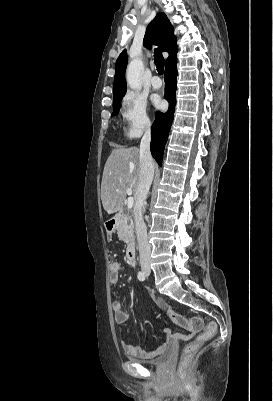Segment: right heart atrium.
I'll return each instance as SVG.
<instances>
[{"label": "right heart atrium", "instance_id": "1", "mask_svg": "<svg viewBox=\"0 0 273 401\" xmlns=\"http://www.w3.org/2000/svg\"><path fill=\"white\" fill-rule=\"evenodd\" d=\"M121 113L126 123L124 135L128 140H136L151 131L153 123L147 114L145 102L139 97L127 95Z\"/></svg>", "mask_w": 273, "mask_h": 401}]
</instances>
